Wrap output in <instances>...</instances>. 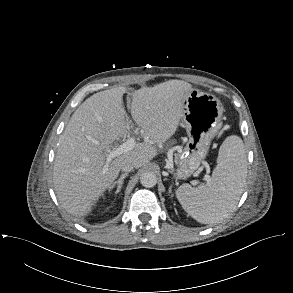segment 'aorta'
Segmentation results:
<instances>
[{
  "label": "aorta",
  "instance_id": "1",
  "mask_svg": "<svg viewBox=\"0 0 293 293\" xmlns=\"http://www.w3.org/2000/svg\"><path fill=\"white\" fill-rule=\"evenodd\" d=\"M140 182L146 188L154 187L157 184V176L154 172L146 171L141 174Z\"/></svg>",
  "mask_w": 293,
  "mask_h": 293
}]
</instances>
